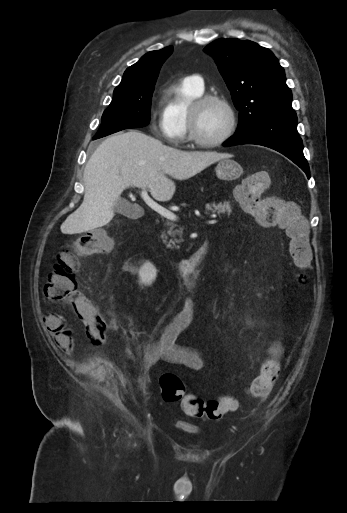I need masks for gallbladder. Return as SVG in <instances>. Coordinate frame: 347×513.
Listing matches in <instances>:
<instances>
[{"instance_id":"1","label":"gallbladder","mask_w":347,"mask_h":513,"mask_svg":"<svg viewBox=\"0 0 347 513\" xmlns=\"http://www.w3.org/2000/svg\"><path fill=\"white\" fill-rule=\"evenodd\" d=\"M114 209L117 213L122 214L129 218H134L137 215L138 207L131 204L125 199H120L116 202Z\"/></svg>"}]
</instances>
